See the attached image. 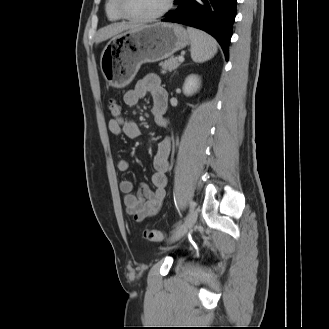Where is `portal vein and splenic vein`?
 I'll return each mask as SVG.
<instances>
[{"label": "portal vein and splenic vein", "mask_w": 329, "mask_h": 329, "mask_svg": "<svg viewBox=\"0 0 329 329\" xmlns=\"http://www.w3.org/2000/svg\"><path fill=\"white\" fill-rule=\"evenodd\" d=\"M178 60H179V62H183L184 61V57L183 56H179Z\"/></svg>", "instance_id": "1"}]
</instances>
